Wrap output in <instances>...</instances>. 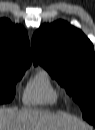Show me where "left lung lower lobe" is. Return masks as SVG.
<instances>
[{
  "label": "left lung lower lobe",
  "instance_id": "obj_1",
  "mask_svg": "<svg viewBox=\"0 0 95 130\" xmlns=\"http://www.w3.org/2000/svg\"><path fill=\"white\" fill-rule=\"evenodd\" d=\"M90 124H95V123H92V122H89Z\"/></svg>",
  "mask_w": 95,
  "mask_h": 130
}]
</instances>
